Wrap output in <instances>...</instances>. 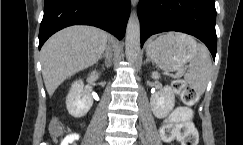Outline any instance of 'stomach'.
<instances>
[{
	"label": "stomach",
	"instance_id": "obj_1",
	"mask_svg": "<svg viewBox=\"0 0 243 145\" xmlns=\"http://www.w3.org/2000/svg\"><path fill=\"white\" fill-rule=\"evenodd\" d=\"M146 50L147 56L166 71L181 69L197 53L194 39L181 33L160 35L148 42Z\"/></svg>",
	"mask_w": 243,
	"mask_h": 145
}]
</instances>
